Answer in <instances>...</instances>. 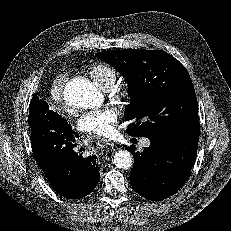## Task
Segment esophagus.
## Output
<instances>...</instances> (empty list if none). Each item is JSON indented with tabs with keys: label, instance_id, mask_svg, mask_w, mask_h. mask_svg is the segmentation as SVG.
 Segmentation results:
<instances>
[{
	"label": "esophagus",
	"instance_id": "34e87169",
	"mask_svg": "<svg viewBox=\"0 0 231 231\" xmlns=\"http://www.w3.org/2000/svg\"><path fill=\"white\" fill-rule=\"evenodd\" d=\"M101 144L103 146H106V147H108V146L113 147L114 146V142L107 140V139L101 140Z\"/></svg>",
	"mask_w": 231,
	"mask_h": 231
}]
</instances>
